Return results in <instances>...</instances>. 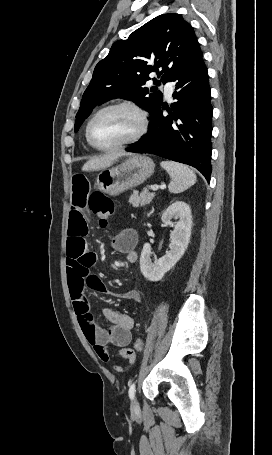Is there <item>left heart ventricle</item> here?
<instances>
[{
  "mask_svg": "<svg viewBox=\"0 0 272 455\" xmlns=\"http://www.w3.org/2000/svg\"><path fill=\"white\" fill-rule=\"evenodd\" d=\"M139 127L137 115L128 108L103 112L92 126V138L101 147L116 145L133 136Z\"/></svg>",
  "mask_w": 272,
  "mask_h": 455,
  "instance_id": "obj_1",
  "label": "left heart ventricle"
}]
</instances>
